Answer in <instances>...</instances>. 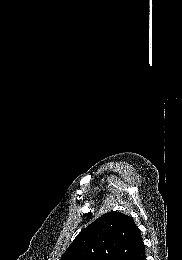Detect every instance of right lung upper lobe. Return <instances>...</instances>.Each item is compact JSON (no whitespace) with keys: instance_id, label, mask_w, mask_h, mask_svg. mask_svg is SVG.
Wrapping results in <instances>:
<instances>
[{"instance_id":"obj_1","label":"right lung upper lobe","mask_w":182,"mask_h":260,"mask_svg":"<svg viewBox=\"0 0 182 260\" xmlns=\"http://www.w3.org/2000/svg\"><path fill=\"white\" fill-rule=\"evenodd\" d=\"M142 248L134 220L121 212H108L84 228L60 260H130Z\"/></svg>"}]
</instances>
